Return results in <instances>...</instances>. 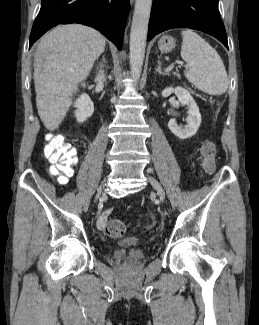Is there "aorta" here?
Here are the masks:
<instances>
[{
    "label": "aorta",
    "instance_id": "1",
    "mask_svg": "<svg viewBox=\"0 0 259 325\" xmlns=\"http://www.w3.org/2000/svg\"><path fill=\"white\" fill-rule=\"evenodd\" d=\"M151 6L152 0H136L135 3L129 43L130 69L135 79L142 71Z\"/></svg>",
    "mask_w": 259,
    "mask_h": 325
}]
</instances>
